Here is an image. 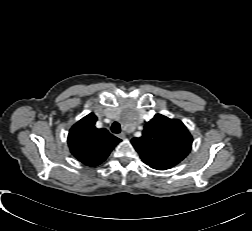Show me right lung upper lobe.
I'll return each mask as SVG.
<instances>
[{"instance_id":"cb5924a9","label":"right lung upper lobe","mask_w":252,"mask_h":231,"mask_svg":"<svg viewBox=\"0 0 252 231\" xmlns=\"http://www.w3.org/2000/svg\"><path fill=\"white\" fill-rule=\"evenodd\" d=\"M97 117L90 113L70 129L68 145L71 153L87 166H97L109 156L121 141L108 130L95 127Z\"/></svg>"}]
</instances>
